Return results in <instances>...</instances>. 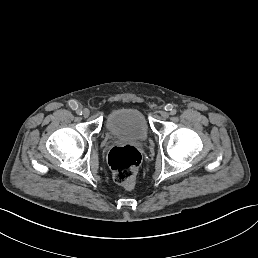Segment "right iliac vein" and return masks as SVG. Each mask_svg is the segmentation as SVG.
I'll return each instance as SVG.
<instances>
[{"instance_id": "1", "label": "right iliac vein", "mask_w": 258, "mask_h": 258, "mask_svg": "<svg viewBox=\"0 0 258 258\" xmlns=\"http://www.w3.org/2000/svg\"><path fill=\"white\" fill-rule=\"evenodd\" d=\"M81 113H82V115H83L84 117H86V118L89 117L90 114H91L90 111H89L88 109H86V108L83 109Z\"/></svg>"}]
</instances>
